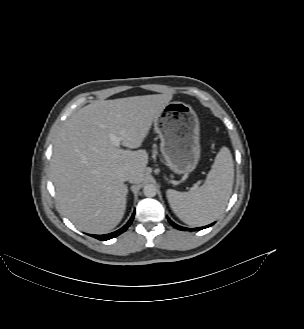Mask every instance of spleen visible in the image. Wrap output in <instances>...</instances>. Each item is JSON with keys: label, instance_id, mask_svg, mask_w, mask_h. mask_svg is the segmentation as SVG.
Segmentation results:
<instances>
[{"label": "spleen", "instance_id": "3e777b00", "mask_svg": "<svg viewBox=\"0 0 304 329\" xmlns=\"http://www.w3.org/2000/svg\"><path fill=\"white\" fill-rule=\"evenodd\" d=\"M234 179V164L227 147L218 152L205 183L190 192L168 189L166 196L175 215L190 226H203L225 210Z\"/></svg>", "mask_w": 304, "mask_h": 329}]
</instances>
